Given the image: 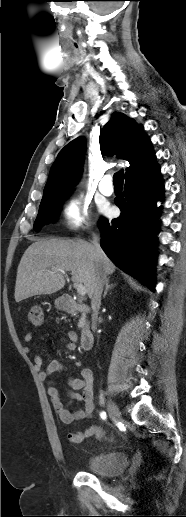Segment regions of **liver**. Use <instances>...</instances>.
<instances>
[{
    "label": "liver",
    "mask_w": 186,
    "mask_h": 517,
    "mask_svg": "<svg viewBox=\"0 0 186 517\" xmlns=\"http://www.w3.org/2000/svg\"><path fill=\"white\" fill-rule=\"evenodd\" d=\"M71 271L74 285L84 284L89 298L93 296V283L101 267L112 274L116 266L103 253L97 257L94 246L84 240H38L24 252L17 269L15 301L41 294H52L65 285L64 273Z\"/></svg>",
    "instance_id": "1"
}]
</instances>
